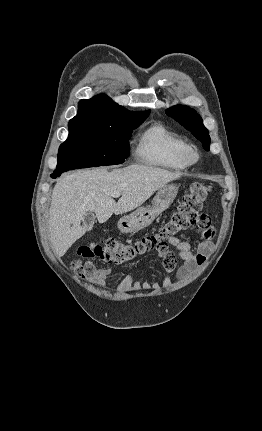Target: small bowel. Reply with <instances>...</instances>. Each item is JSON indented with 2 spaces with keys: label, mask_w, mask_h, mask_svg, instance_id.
Segmentation results:
<instances>
[{
  "label": "small bowel",
  "mask_w": 262,
  "mask_h": 431,
  "mask_svg": "<svg viewBox=\"0 0 262 431\" xmlns=\"http://www.w3.org/2000/svg\"><path fill=\"white\" fill-rule=\"evenodd\" d=\"M199 229L203 240L195 249L185 238H169V244L177 249L178 254H161L166 271V275L161 282L152 283L147 279L139 280L128 274L119 279V289L122 292H148L167 289L174 284L173 273H176L177 278L181 281L189 279L205 263L207 253L213 245L214 230L211 225V219L207 215H203L202 219L199 220ZM90 266L91 270L85 272L83 277L96 285H105L107 278L112 275V269L97 268L92 263H90Z\"/></svg>",
  "instance_id": "small-bowel-1"
}]
</instances>
